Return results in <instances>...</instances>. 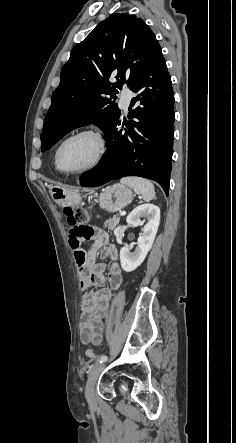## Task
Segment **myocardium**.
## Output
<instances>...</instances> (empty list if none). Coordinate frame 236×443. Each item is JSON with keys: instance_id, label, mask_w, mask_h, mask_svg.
I'll return each instance as SVG.
<instances>
[{"instance_id": "myocardium-1", "label": "myocardium", "mask_w": 236, "mask_h": 443, "mask_svg": "<svg viewBox=\"0 0 236 443\" xmlns=\"http://www.w3.org/2000/svg\"><path fill=\"white\" fill-rule=\"evenodd\" d=\"M83 135L92 136L96 140L97 145H98V152H97L96 158L94 159V161L90 165H88L84 168L78 169V170L67 171V170L62 169L60 166V152H61L63 146L71 139H74L76 137L83 136ZM106 152H107V140H106L104 134L97 128L84 127V128L78 129L75 132L69 134L67 137H65L61 141V143L59 144V146L56 150V153H55V165H56V168L61 173H64L67 175H81V174L88 173V172L96 169L102 163V161L106 155Z\"/></svg>"}]
</instances>
